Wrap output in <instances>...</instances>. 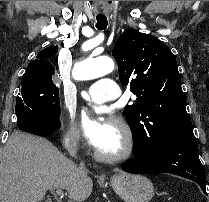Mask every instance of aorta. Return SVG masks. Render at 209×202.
I'll use <instances>...</instances> for the list:
<instances>
[{
	"mask_svg": "<svg viewBox=\"0 0 209 202\" xmlns=\"http://www.w3.org/2000/svg\"><path fill=\"white\" fill-rule=\"evenodd\" d=\"M114 67V61L108 56L86 59L75 65L73 77L76 80H90L111 73Z\"/></svg>",
	"mask_w": 209,
	"mask_h": 202,
	"instance_id": "obj_1",
	"label": "aorta"
}]
</instances>
